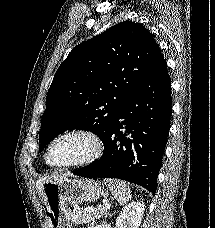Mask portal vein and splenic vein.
Masks as SVG:
<instances>
[{
	"label": "portal vein and splenic vein",
	"instance_id": "obj_1",
	"mask_svg": "<svg viewBox=\"0 0 215 228\" xmlns=\"http://www.w3.org/2000/svg\"><path fill=\"white\" fill-rule=\"evenodd\" d=\"M101 208H103V210H110L111 204H107V202H105V204H103V206H101Z\"/></svg>",
	"mask_w": 215,
	"mask_h": 228
}]
</instances>
